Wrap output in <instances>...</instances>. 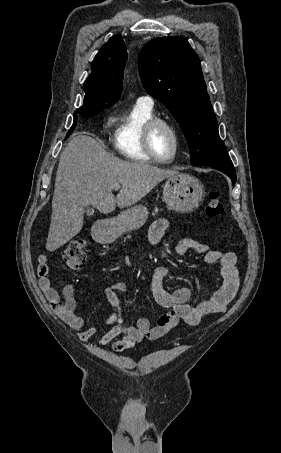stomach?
Masks as SVG:
<instances>
[{
	"label": "stomach",
	"mask_w": 281,
	"mask_h": 453,
	"mask_svg": "<svg viewBox=\"0 0 281 453\" xmlns=\"http://www.w3.org/2000/svg\"><path fill=\"white\" fill-rule=\"evenodd\" d=\"M204 196L202 182L199 178L187 174V172L170 176L164 182L163 200H165L167 208L175 210V212H192V210L198 208ZM147 218L148 208L142 206V204H137V206H131L127 210H122L115 218L103 220L100 227L94 231V235L99 237L101 243L108 245L123 233H131V231L143 227Z\"/></svg>",
	"instance_id": "1"
}]
</instances>
